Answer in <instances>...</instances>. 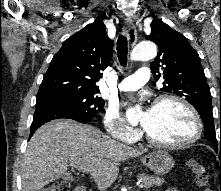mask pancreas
Instances as JSON below:
<instances>
[{
  "instance_id": "obj_1",
  "label": "pancreas",
  "mask_w": 221,
  "mask_h": 191,
  "mask_svg": "<svg viewBox=\"0 0 221 191\" xmlns=\"http://www.w3.org/2000/svg\"><path fill=\"white\" fill-rule=\"evenodd\" d=\"M138 179L142 182L145 188H150L154 186L159 187L165 182L163 178L148 174H140L138 175Z\"/></svg>"
}]
</instances>
